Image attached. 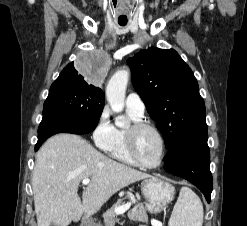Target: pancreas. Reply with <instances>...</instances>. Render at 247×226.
Segmentation results:
<instances>
[{
	"label": "pancreas",
	"instance_id": "1",
	"mask_svg": "<svg viewBox=\"0 0 247 226\" xmlns=\"http://www.w3.org/2000/svg\"><path fill=\"white\" fill-rule=\"evenodd\" d=\"M124 199H119L110 209H108L105 213H103L104 225L105 226H114L118 221L117 214L115 213V209L124 204ZM135 203V200H133ZM128 217L132 221H141L147 222L148 216L146 210L141 203L135 204L134 208L128 212ZM144 226V225H141Z\"/></svg>",
	"mask_w": 247,
	"mask_h": 226
}]
</instances>
